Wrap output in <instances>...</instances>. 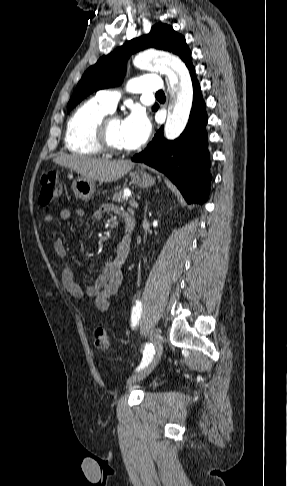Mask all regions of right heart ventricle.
I'll return each instance as SVG.
<instances>
[{"mask_svg":"<svg viewBox=\"0 0 287 486\" xmlns=\"http://www.w3.org/2000/svg\"><path fill=\"white\" fill-rule=\"evenodd\" d=\"M108 109L97 98H92L81 104L67 122L65 146L73 154L95 157L102 151L95 142V129Z\"/></svg>","mask_w":287,"mask_h":486,"instance_id":"1","label":"right heart ventricle"}]
</instances>
